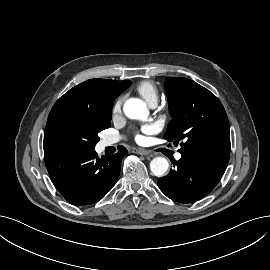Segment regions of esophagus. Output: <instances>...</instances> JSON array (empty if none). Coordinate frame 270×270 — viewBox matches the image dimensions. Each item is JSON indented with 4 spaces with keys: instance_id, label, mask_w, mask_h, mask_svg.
Returning a JSON list of instances; mask_svg holds the SVG:
<instances>
[{
    "instance_id": "obj_1",
    "label": "esophagus",
    "mask_w": 270,
    "mask_h": 270,
    "mask_svg": "<svg viewBox=\"0 0 270 270\" xmlns=\"http://www.w3.org/2000/svg\"><path fill=\"white\" fill-rule=\"evenodd\" d=\"M134 153L138 155H143V156H150V151L146 149H135Z\"/></svg>"
}]
</instances>
